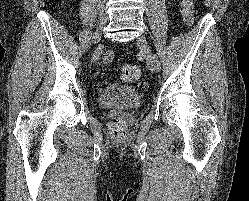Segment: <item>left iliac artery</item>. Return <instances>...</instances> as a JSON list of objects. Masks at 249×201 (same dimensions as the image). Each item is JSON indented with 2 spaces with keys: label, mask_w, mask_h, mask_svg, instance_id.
<instances>
[{
  "label": "left iliac artery",
  "mask_w": 249,
  "mask_h": 201,
  "mask_svg": "<svg viewBox=\"0 0 249 201\" xmlns=\"http://www.w3.org/2000/svg\"><path fill=\"white\" fill-rule=\"evenodd\" d=\"M153 59H154V62H155L156 69H157V71H159L161 69L159 59H158V57L156 55L153 56Z\"/></svg>",
  "instance_id": "1"
}]
</instances>
